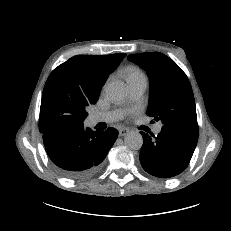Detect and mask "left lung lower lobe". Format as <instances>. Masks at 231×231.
Returning <instances> with one entry per match:
<instances>
[{
	"label": "left lung lower lobe",
	"mask_w": 231,
	"mask_h": 231,
	"mask_svg": "<svg viewBox=\"0 0 231 231\" xmlns=\"http://www.w3.org/2000/svg\"><path fill=\"white\" fill-rule=\"evenodd\" d=\"M141 134V165L146 172L159 178H170L183 172L198 141V132L173 128H162L157 136Z\"/></svg>",
	"instance_id": "obj_1"
}]
</instances>
